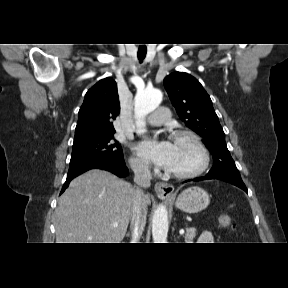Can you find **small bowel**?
I'll return each mask as SVG.
<instances>
[{
	"label": "small bowel",
	"instance_id": "obj_1",
	"mask_svg": "<svg viewBox=\"0 0 288 288\" xmlns=\"http://www.w3.org/2000/svg\"><path fill=\"white\" fill-rule=\"evenodd\" d=\"M214 237L210 231H204L199 237V243L208 244L213 243Z\"/></svg>",
	"mask_w": 288,
	"mask_h": 288
}]
</instances>
